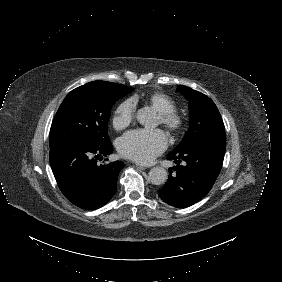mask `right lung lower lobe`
Instances as JSON below:
<instances>
[{
  "label": "right lung lower lobe",
  "mask_w": 282,
  "mask_h": 282,
  "mask_svg": "<svg viewBox=\"0 0 282 282\" xmlns=\"http://www.w3.org/2000/svg\"><path fill=\"white\" fill-rule=\"evenodd\" d=\"M112 151L110 141L96 144L72 140L50 148L53 174L68 200L82 209L94 210L112 198L124 163L115 161L107 165L97 164V159Z\"/></svg>",
  "instance_id": "obj_1"
}]
</instances>
